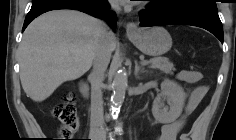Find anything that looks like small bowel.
I'll return each mask as SVG.
<instances>
[{
  "instance_id": "obj_1",
  "label": "small bowel",
  "mask_w": 236,
  "mask_h": 140,
  "mask_svg": "<svg viewBox=\"0 0 236 140\" xmlns=\"http://www.w3.org/2000/svg\"><path fill=\"white\" fill-rule=\"evenodd\" d=\"M178 78L185 83L195 84L202 79V74L194 70H182L179 72ZM206 92L207 87L205 85L197 86L189 96L184 114L177 120L163 125L157 140H176L178 133L185 123L187 115L197 107Z\"/></svg>"
}]
</instances>
